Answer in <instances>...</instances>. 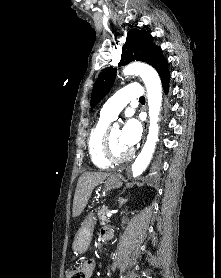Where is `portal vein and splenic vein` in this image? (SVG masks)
<instances>
[{
    "label": "portal vein and splenic vein",
    "mask_w": 221,
    "mask_h": 278,
    "mask_svg": "<svg viewBox=\"0 0 221 278\" xmlns=\"http://www.w3.org/2000/svg\"><path fill=\"white\" fill-rule=\"evenodd\" d=\"M113 213H116V211L111 210V211L107 212L106 215H107V217H111L113 215Z\"/></svg>",
    "instance_id": "18ae733b"
}]
</instances>
